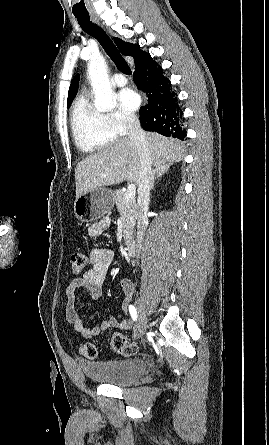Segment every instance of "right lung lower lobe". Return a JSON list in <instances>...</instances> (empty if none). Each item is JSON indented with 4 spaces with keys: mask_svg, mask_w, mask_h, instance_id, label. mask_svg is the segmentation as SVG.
Listing matches in <instances>:
<instances>
[{
    "mask_svg": "<svg viewBox=\"0 0 269 445\" xmlns=\"http://www.w3.org/2000/svg\"><path fill=\"white\" fill-rule=\"evenodd\" d=\"M134 82L146 93L148 104L140 107L141 126L146 131H155L167 137L183 139L186 131L180 124L182 110L177 93L163 69L151 57L135 66Z\"/></svg>",
    "mask_w": 269,
    "mask_h": 445,
    "instance_id": "obj_1",
    "label": "right lung lower lobe"
}]
</instances>
